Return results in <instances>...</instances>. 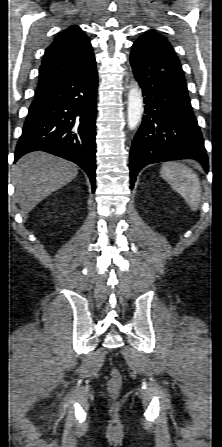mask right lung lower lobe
Segmentation results:
<instances>
[{"label":"right lung lower lobe","instance_id":"1","mask_svg":"<svg viewBox=\"0 0 222 447\" xmlns=\"http://www.w3.org/2000/svg\"><path fill=\"white\" fill-rule=\"evenodd\" d=\"M97 78L93 59L74 77L35 98L16 147L15 161L37 150L65 158L88 174L94 192Z\"/></svg>","mask_w":222,"mask_h":447}]
</instances>
